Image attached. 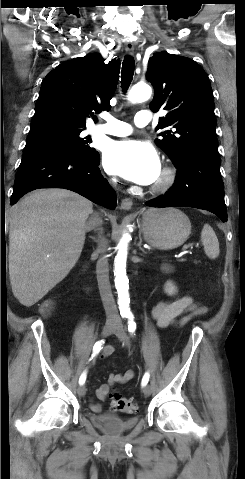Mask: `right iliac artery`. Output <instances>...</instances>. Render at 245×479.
<instances>
[{"mask_svg":"<svg viewBox=\"0 0 245 479\" xmlns=\"http://www.w3.org/2000/svg\"><path fill=\"white\" fill-rule=\"evenodd\" d=\"M104 341L103 340H100V341H97L95 344H94V347H93V354H92V357H94L96 354H98L100 352V350L103 348L102 345H103ZM86 381V371H84L82 373V375L80 376L79 378V384L80 385H83Z\"/></svg>","mask_w":245,"mask_h":479,"instance_id":"1","label":"right iliac artery"}]
</instances>
